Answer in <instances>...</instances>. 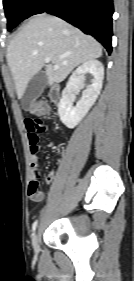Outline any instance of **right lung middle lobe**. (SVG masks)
<instances>
[{"label": "right lung middle lobe", "instance_id": "dd1d6c3e", "mask_svg": "<svg viewBox=\"0 0 134 281\" xmlns=\"http://www.w3.org/2000/svg\"><path fill=\"white\" fill-rule=\"evenodd\" d=\"M37 0H3L8 30L16 27L29 17V13Z\"/></svg>", "mask_w": 134, "mask_h": 281}]
</instances>
